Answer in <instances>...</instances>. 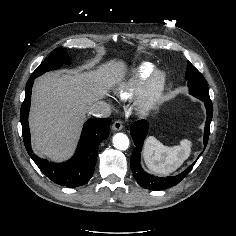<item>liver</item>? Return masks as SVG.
Here are the masks:
<instances>
[{
    "label": "liver",
    "mask_w": 236,
    "mask_h": 236,
    "mask_svg": "<svg viewBox=\"0 0 236 236\" xmlns=\"http://www.w3.org/2000/svg\"><path fill=\"white\" fill-rule=\"evenodd\" d=\"M124 75V64L111 60L95 70L48 73L36 79L29 115L35 152L53 161L68 159L86 113Z\"/></svg>",
    "instance_id": "6515ba94"
}]
</instances>
